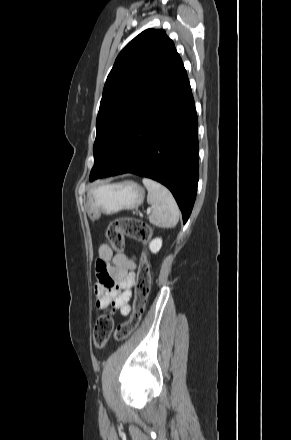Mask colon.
I'll list each match as a JSON object with an SVG mask.
<instances>
[{
	"label": "colon",
	"mask_w": 291,
	"mask_h": 440,
	"mask_svg": "<svg viewBox=\"0 0 291 440\" xmlns=\"http://www.w3.org/2000/svg\"><path fill=\"white\" fill-rule=\"evenodd\" d=\"M124 234L131 238L147 243L150 239V228L133 217H120L114 219L108 226L106 235L111 244V247L116 253H122L124 250ZM151 276L146 260V255L143 254L142 262L137 270L136 295L133 304V311L128 321L119 325L115 330L116 339L128 338L134 330L138 327L144 309L146 300L150 292ZM113 329L112 311L110 313L101 315L94 325L93 329V343L97 348H102L107 343Z\"/></svg>",
	"instance_id": "1"
}]
</instances>
